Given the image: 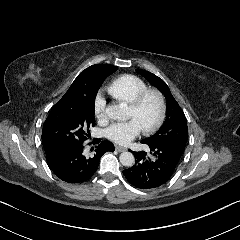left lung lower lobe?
Listing matches in <instances>:
<instances>
[{"instance_id": "1", "label": "left lung lower lobe", "mask_w": 240, "mask_h": 240, "mask_svg": "<svg viewBox=\"0 0 240 240\" xmlns=\"http://www.w3.org/2000/svg\"><path fill=\"white\" fill-rule=\"evenodd\" d=\"M148 146L153 157H146L144 151L134 152L135 165L123 171L128 182L139 189H152L165 184L182 156L172 148Z\"/></svg>"}]
</instances>
